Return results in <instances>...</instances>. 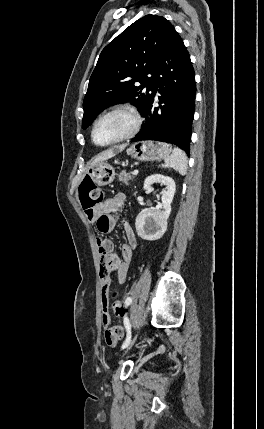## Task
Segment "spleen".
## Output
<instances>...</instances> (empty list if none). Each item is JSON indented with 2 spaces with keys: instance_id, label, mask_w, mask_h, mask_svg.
Returning a JSON list of instances; mask_svg holds the SVG:
<instances>
[{
  "instance_id": "spleen-1",
  "label": "spleen",
  "mask_w": 264,
  "mask_h": 429,
  "mask_svg": "<svg viewBox=\"0 0 264 429\" xmlns=\"http://www.w3.org/2000/svg\"><path fill=\"white\" fill-rule=\"evenodd\" d=\"M164 168H173L181 175L187 172V157L186 154L179 148L175 147L172 154L164 159Z\"/></svg>"
}]
</instances>
